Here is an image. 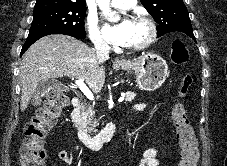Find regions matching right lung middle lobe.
<instances>
[{
  "instance_id": "1",
  "label": "right lung middle lobe",
  "mask_w": 227,
  "mask_h": 166,
  "mask_svg": "<svg viewBox=\"0 0 227 166\" xmlns=\"http://www.w3.org/2000/svg\"><path fill=\"white\" fill-rule=\"evenodd\" d=\"M86 6L71 4L35 5L27 39L46 33L67 32L85 37Z\"/></svg>"
}]
</instances>
